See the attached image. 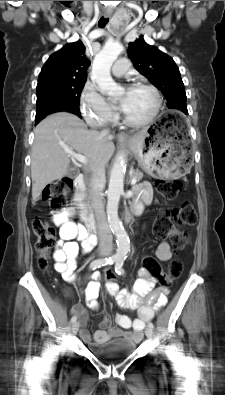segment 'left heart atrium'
Here are the masks:
<instances>
[{
  "label": "left heart atrium",
  "mask_w": 225,
  "mask_h": 395,
  "mask_svg": "<svg viewBox=\"0 0 225 395\" xmlns=\"http://www.w3.org/2000/svg\"><path fill=\"white\" fill-rule=\"evenodd\" d=\"M130 96H131V90H128V91L126 92V96H125L124 100L121 102V109H122L123 111H124L125 108H126V104H127L128 100H129Z\"/></svg>",
  "instance_id": "1"
}]
</instances>
